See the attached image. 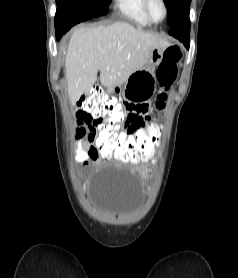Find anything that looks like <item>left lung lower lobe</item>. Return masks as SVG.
Returning <instances> with one entry per match:
<instances>
[{
    "mask_svg": "<svg viewBox=\"0 0 238 278\" xmlns=\"http://www.w3.org/2000/svg\"><path fill=\"white\" fill-rule=\"evenodd\" d=\"M169 34L178 38L186 47H189V8L180 14L176 22L169 27Z\"/></svg>",
    "mask_w": 238,
    "mask_h": 278,
    "instance_id": "left-lung-lower-lobe-1",
    "label": "left lung lower lobe"
}]
</instances>
